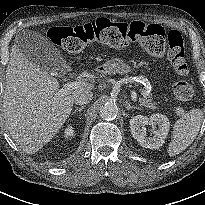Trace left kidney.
<instances>
[{"instance_id":"left-kidney-1","label":"left kidney","mask_w":205,"mask_h":205,"mask_svg":"<svg viewBox=\"0 0 205 205\" xmlns=\"http://www.w3.org/2000/svg\"><path fill=\"white\" fill-rule=\"evenodd\" d=\"M157 124L158 128L154 131L153 136L148 137L146 133L147 124ZM170 122L167 116L163 114H152L150 117L136 115L130 119V129L134 139L145 148L157 149L164 143L168 135Z\"/></svg>"}]
</instances>
